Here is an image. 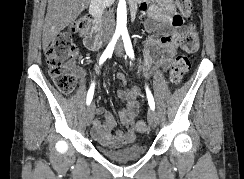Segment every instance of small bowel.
I'll return each mask as SVG.
<instances>
[{
    "label": "small bowel",
    "instance_id": "1",
    "mask_svg": "<svg viewBox=\"0 0 244 179\" xmlns=\"http://www.w3.org/2000/svg\"><path fill=\"white\" fill-rule=\"evenodd\" d=\"M139 13L140 21L147 37L144 46V60L141 63L143 77L147 78L153 70H167L174 59L177 39L181 34L180 15L176 12L173 4L168 0L153 2L139 1L133 5ZM130 7V8H131ZM83 43L89 50L95 47L85 36ZM75 74L80 79L82 87L86 83V71L82 68H74ZM123 88L118 91V97L125 101V107L119 112L121 124L124 130L116 129V121L112 116H104L101 108H95L93 114V136L104 147H122L130 144L135 137L134 118L139 108L136 88H125L126 81L122 73H117Z\"/></svg>",
    "mask_w": 244,
    "mask_h": 179
}]
</instances>
